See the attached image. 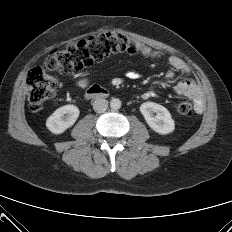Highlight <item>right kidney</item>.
I'll use <instances>...</instances> for the list:
<instances>
[{"mask_svg": "<svg viewBox=\"0 0 232 232\" xmlns=\"http://www.w3.org/2000/svg\"><path fill=\"white\" fill-rule=\"evenodd\" d=\"M80 111L75 105H64L48 117L46 127L54 134H61L74 125Z\"/></svg>", "mask_w": 232, "mask_h": 232, "instance_id": "ca27d5eb", "label": "right kidney"}]
</instances>
